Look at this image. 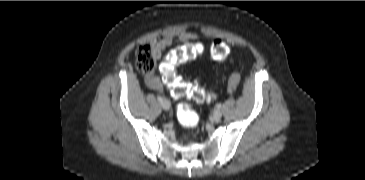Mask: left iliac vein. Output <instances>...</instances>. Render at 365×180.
Returning <instances> with one entry per match:
<instances>
[{
  "instance_id": "1",
  "label": "left iliac vein",
  "mask_w": 365,
  "mask_h": 180,
  "mask_svg": "<svg viewBox=\"0 0 365 180\" xmlns=\"http://www.w3.org/2000/svg\"><path fill=\"white\" fill-rule=\"evenodd\" d=\"M221 117H222V113H221V111H220V110H218V109H216V110L213 112V119H214L215 121H218V120H220V119H221Z\"/></svg>"
}]
</instances>
